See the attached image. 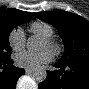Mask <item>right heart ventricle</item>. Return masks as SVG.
Here are the masks:
<instances>
[{
    "label": "right heart ventricle",
    "instance_id": "obj_1",
    "mask_svg": "<svg viewBox=\"0 0 89 89\" xmlns=\"http://www.w3.org/2000/svg\"><path fill=\"white\" fill-rule=\"evenodd\" d=\"M30 29L34 34L45 39L51 38L54 34L52 26L45 22H34Z\"/></svg>",
    "mask_w": 89,
    "mask_h": 89
}]
</instances>
